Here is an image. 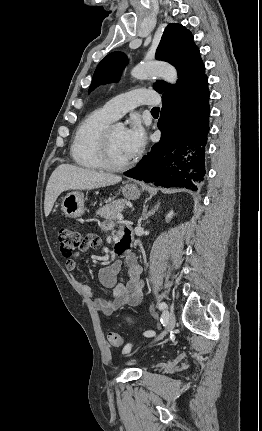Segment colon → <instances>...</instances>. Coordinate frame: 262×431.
I'll use <instances>...</instances> for the list:
<instances>
[{
	"mask_svg": "<svg viewBox=\"0 0 262 431\" xmlns=\"http://www.w3.org/2000/svg\"><path fill=\"white\" fill-rule=\"evenodd\" d=\"M57 237L60 252L67 259H71L86 249L97 247L100 243L98 236L85 235L81 230L74 228H62ZM107 338L110 345L115 347L123 343L121 335L116 332H110Z\"/></svg>",
	"mask_w": 262,
	"mask_h": 431,
	"instance_id": "5ec220e1",
	"label": "colon"
}]
</instances>
